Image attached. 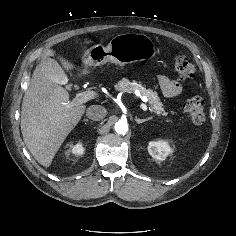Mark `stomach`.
<instances>
[{"label":"stomach","mask_w":236,"mask_h":236,"mask_svg":"<svg viewBox=\"0 0 236 236\" xmlns=\"http://www.w3.org/2000/svg\"><path fill=\"white\" fill-rule=\"evenodd\" d=\"M156 53V46L147 35L125 33L113 37L107 47L98 44L85 51L82 62L84 69L88 71L107 62L124 66L151 59Z\"/></svg>","instance_id":"stomach-1"}]
</instances>
